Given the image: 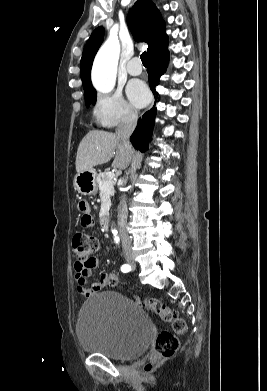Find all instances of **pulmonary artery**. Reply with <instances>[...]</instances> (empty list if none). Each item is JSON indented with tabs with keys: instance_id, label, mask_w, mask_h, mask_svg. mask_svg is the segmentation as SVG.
<instances>
[{
	"instance_id": "e3ab8cb5",
	"label": "pulmonary artery",
	"mask_w": 267,
	"mask_h": 391,
	"mask_svg": "<svg viewBox=\"0 0 267 391\" xmlns=\"http://www.w3.org/2000/svg\"><path fill=\"white\" fill-rule=\"evenodd\" d=\"M127 72L132 76H137L142 73L140 58L134 57L127 64Z\"/></svg>"
}]
</instances>
